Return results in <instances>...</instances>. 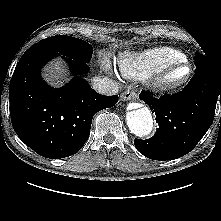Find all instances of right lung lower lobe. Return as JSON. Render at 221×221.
<instances>
[{
	"label": "right lung lower lobe",
	"instance_id": "1",
	"mask_svg": "<svg viewBox=\"0 0 221 221\" xmlns=\"http://www.w3.org/2000/svg\"><path fill=\"white\" fill-rule=\"evenodd\" d=\"M34 44L19 60L9 86L10 115L19 138L41 156L59 159L78 152L87 141L92 118L114 106L118 96H104L90 88L79 75L88 72L85 62L62 56L75 75L54 89L40 76L42 66L60 56Z\"/></svg>",
	"mask_w": 221,
	"mask_h": 221
}]
</instances>
